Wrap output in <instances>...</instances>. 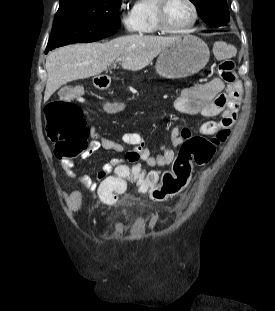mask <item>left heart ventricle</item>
<instances>
[{
  "label": "left heart ventricle",
  "mask_w": 275,
  "mask_h": 311,
  "mask_svg": "<svg viewBox=\"0 0 275 311\" xmlns=\"http://www.w3.org/2000/svg\"><path fill=\"white\" fill-rule=\"evenodd\" d=\"M192 19V10L186 0H171L166 11V22L169 27L179 29Z\"/></svg>",
  "instance_id": "1"
}]
</instances>
